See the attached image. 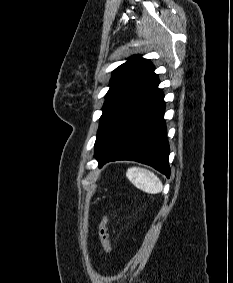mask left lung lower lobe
Segmentation results:
<instances>
[{
    "instance_id": "0a47b994",
    "label": "left lung lower lobe",
    "mask_w": 233,
    "mask_h": 283,
    "mask_svg": "<svg viewBox=\"0 0 233 283\" xmlns=\"http://www.w3.org/2000/svg\"><path fill=\"white\" fill-rule=\"evenodd\" d=\"M158 85L159 79L155 75L95 152L100 168L109 161L134 160L150 165L170 177L165 102Z\"/></svg>"
}]
</instances>
